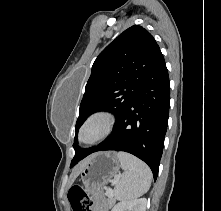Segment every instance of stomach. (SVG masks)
<instances>
[{
  "label": "stomach",
  "mask_w": 221,
  "mask_h": 211,
  "mask_svg": "<svg viewBox=\"0 0 221 211\" xmlns=\"http://www.w3.org/2000/svg\"><path fill=\"white\" fill-rule=\"evenodd\" d=\"M120 168L114 152H99L90 157L82 168L81 180L89 193H103L104 186L111 181Z\"/></svg>",
  "instance_id": "obj_1"
}]
</instances>
